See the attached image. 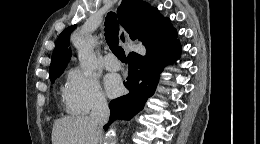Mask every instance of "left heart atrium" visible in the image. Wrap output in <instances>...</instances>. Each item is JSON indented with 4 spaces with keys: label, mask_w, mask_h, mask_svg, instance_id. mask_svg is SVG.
Returning a JSON list of instances; mask_svg holds the SVG:
<instances>
[{
    "label": "left heart atrium",
    "mask_w": 260,
    "mask_h": 144,
    "mask_svg": "<svg viewBox=\"0 0 260 144\" xmlns=\"http://www.w3.org/2000/svg\"><path fill=\"white\" fill-rule=\"evenodd\" d=\"M106 91L110 96L118 95L122 90V83L119 76L109 74L105 78Z\"/></svg>",
    "instance_id": "obj_1"
}]
</instances>
